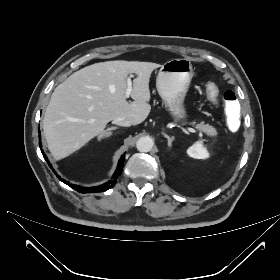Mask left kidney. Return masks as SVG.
Segmentation results:
<instances>
[{"label": "left kidney", "mask_w": 280, "mask_h": 280, "mask_svg": "<svg viewBox=\"0 0 280 280\" xmlns=\"http://www.w3.org/2000/svg\"><path fill=\"white\" fill-rule=\"evenodd\" d=\"M187 154L195 159H206L209 157L207 149L203 146L202 141H198L187 149Z\"/></svg>", "instance_id": "obj_1"}]
</instances>
